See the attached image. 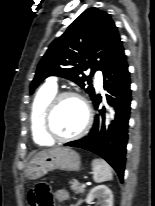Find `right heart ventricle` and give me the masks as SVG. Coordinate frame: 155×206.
<instances>
[{
    "instance_id": "e07e8e85",
    "label": "right heart ventricle",
    "mask_w": 155,
    "mask_h": 206,
    "mask_svg": "<svg viewBox=\"0 0 155 206\" xmlns=\"http://www.w3.org/2000/svg\"><path fill=\"white\" fill-rule=\"evenodd\" d=\"M56 92V86L47 83L37 92L32 102L30 125L32 137L35 143H37L38 145L48 146L53 143V141L44 133L42 116L47 104L56 94Z\"/></svg>"
}]
</instances>
